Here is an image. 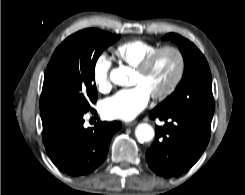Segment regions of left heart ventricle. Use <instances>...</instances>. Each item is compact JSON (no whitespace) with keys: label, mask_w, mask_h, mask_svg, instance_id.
<instances>
[{"label":"left heart ventricle","mask_w":245,"mask_h":195,"mask_svg":"<svg viewBox=\"0 0 245 195\" xmlns=\"http://www.w3.org/2000/svg\"><path fill=\"white\" fill-rule=\"evenodd\" d=\"M177 69V59L172 52L162 53L144 74L135 72L133 84L143 86L150 95L165 89L173 79Z\"/></svg>","instance_id":"obj_1"}]
</instances>
